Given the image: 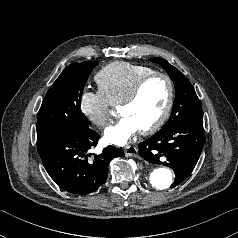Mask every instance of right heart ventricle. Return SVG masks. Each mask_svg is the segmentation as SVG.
Instances as JSON below:
<instances>
[{"mask_svg":"<svg viewBox=\"0 0 238 238\" xmlns=\"http://www.w3.org/2000/svg\"><path fill=\"white\" fill-rule=\"evenodd\" d=\"M154 72L155 70L147 66L116 61L103 67L95 75V81L107 99L118 105L141 78Z\"/></svg>","mask_w":238,"mask_h":238,"instance_id":"e07e8e85","label":"right heart ventricle"}]
</instances>
